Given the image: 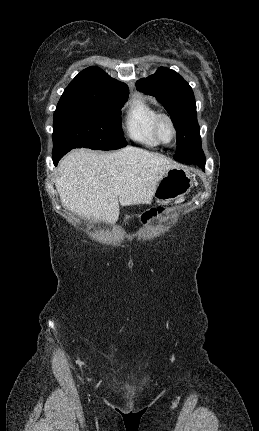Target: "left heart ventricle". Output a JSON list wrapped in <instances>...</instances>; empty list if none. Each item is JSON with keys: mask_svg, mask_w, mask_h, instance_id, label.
<instances>
[{"mask_svg": "<svg viewBox=\"0 0 259 431\" xmlns=\"http://www.w3.org/2000/svg\"><path fill=\"white\" fill-rule=\"evenodd\" d=\"M161 135L163 137L164 140H170L171 135H172V131L170 126L167 123H163L161 126Z\"/></svg>", "mask_w": 259, "mask_h": 431, "instance_id": "left-heart-ventricle-1", "label": "left heart ventricle"}]
</instances>
